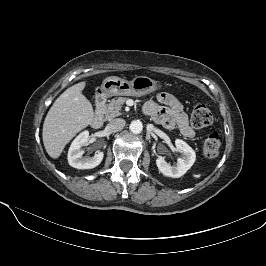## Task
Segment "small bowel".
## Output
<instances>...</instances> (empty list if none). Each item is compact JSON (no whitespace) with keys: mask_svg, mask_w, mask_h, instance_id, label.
Masks as SVG:
<instances>
[{"mask_svg":"<svg viewBox=\"0 0 266 266\" xmlns=\"http://www.w3.org/2000/svg\"><path fill=\"white\" fill-rule=\"evenodd\" d=\"M143 110L145 114L166 128H177L187 138L195 136V131L189 124L183 105L172 94H157L156 101L146 102Z\"/></svg>","mask_w":266,"mask_h":266,"instance_id":"obj_1","label":"small bowel"}]
</instances>
